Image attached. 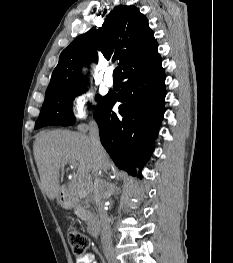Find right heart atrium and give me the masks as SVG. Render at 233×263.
Masks as SVG:
<instances>
[{"label":"right heart atrium","mask_w":233,"mask_h":263,"mask_svg":"<svg viewBox=\"0 0 233 263\" xmlns=\"http://www.w3.org/2000/svg\"><path fill=\"white\" fill-rule=\"evenodd\" d=\"M94 104V93L89 88H81L72 97L71 115L74 120H84L90 105Z\"/></svg>","instance_id":"right-heart-atrium-1"}]
</instances>
